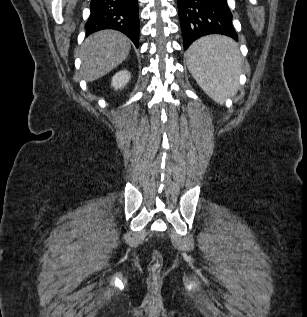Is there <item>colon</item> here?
Listing matches in <instances>:
<instances>
[{
  "label": "colon",
  "mask_w": 307,
  "mask_h": 317,
  "mask_svg": "<svg viewBox=\"0 0 307 317\" xmlns=\"http://www.w3.org/2000/svg\"><path fill=\"white\" fill-rule=\"evenodd\" d=\"M161 266L162 258L157 252H155L149 266L150 276L153 281H156L159 278Z\"/></svg>",
  "instance_id": "5ec220e1"
}]
</instances>
